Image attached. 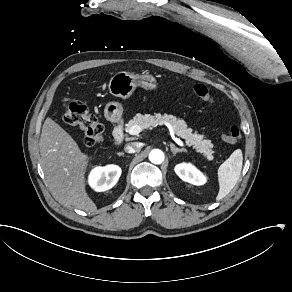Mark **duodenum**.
<instances>
[{"mask_svg": "<svg viewBox=\"0 0 292 292\" xmlns=\"http://www.w3.org/2000/svg\"><path fill=\"white\" fill-rule=\"evenodd\" d=\"M112 136H113V143L115 145H119L123 142V140L125 138L123 123H118L114 127Z\"/></svg>", "mask_w": 292, "mask_h": 292, "instance_id": "obj_1", "label": "duodenum"}]
</instances>
